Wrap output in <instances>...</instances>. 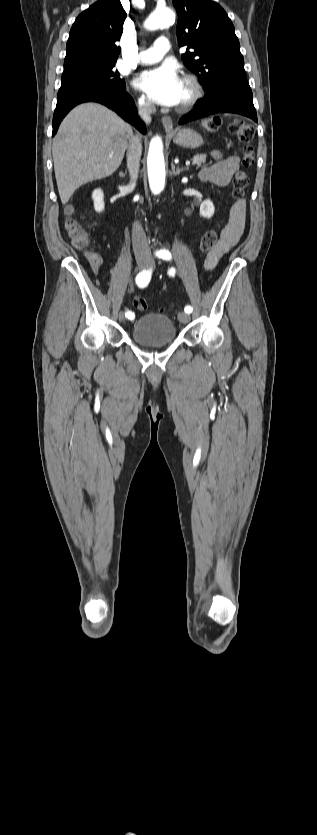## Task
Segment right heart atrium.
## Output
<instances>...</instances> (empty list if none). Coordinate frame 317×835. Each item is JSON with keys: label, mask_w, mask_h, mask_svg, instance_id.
Wrapping results in <instances>:
<instances>
[{"label": "right heart atrium", "mask_w": 317, "mask_h": 835, "mask_svg": "<svg viewBox=\"0 0 317 835\" xmlns=\"http://www.w3.org/2000/svg\"><path fill=\"white\" fill-rule=\"evenodd\" d=\"M136 103L139 110L142 112H150L152 110L151 102L144 95H139L136 98Z\"/></svg>", "instance_id": "right-heart-atrium-1"}]
</instances>
